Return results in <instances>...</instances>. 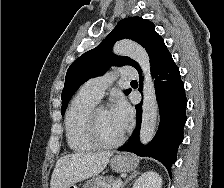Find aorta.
<instances>
[{
    "mask_svg": "<svg viewBox=\"0 0 224 188\" xmlns=\"http://www.w3.org/2000/svg\"><path fill=\"white\" fill-rule=\"evenodd\" d=\"M113 52L118 55L130 57L135 60L142 69L144 76V87L142 123L139 137L140 142L146 145L154 136L158 114V103L156 99L155 87L150 72V59L143 47L130 40H122L117 42L113 47Z\"/></svg>",
    "mask_w": 224,
    "mask_h": 188,
    "instance_id": "obj_1",
    "label": "aorta"
}]
</instances>
